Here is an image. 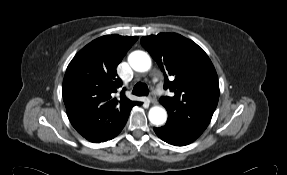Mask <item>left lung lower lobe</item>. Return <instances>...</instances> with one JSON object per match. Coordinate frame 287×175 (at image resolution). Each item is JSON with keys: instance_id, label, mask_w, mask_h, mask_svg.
Segmentation results:
<instances>
[{"instance_id": "1", "label": "left lung lower lobe", "mask_w": 287, "mask_h": 175, "mask_svg": "<svg viewBox=\"0 0 287 175\" xmlns=\"http://www.w3.org/2000/svg\"><path fill=\"white\" fill-rule=\"evenodd\" d=\"M154 131L163 141L175 146L188 145L196 140V138L190 136L189 134L181 131L169 123H166L162 127L154 128Z\"/></svg>"}]
</instances>
